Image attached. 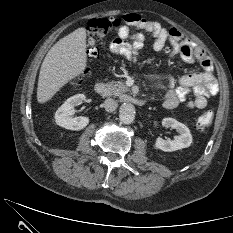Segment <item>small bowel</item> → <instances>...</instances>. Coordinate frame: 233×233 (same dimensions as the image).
Wrapping results in <instances>:
<instances>
[{"mask_svg": "<svg viewBox=\"0 0 233 233\" xmlns=\"http://www.w3.org/2000/svg\"><path fill=\"white\" fill-rule=\"evenodd\" d=\"M123 20L125 24L119 27L118 37L109 46L110 51L135 62L146 44V34H150L153 37L151 44L154 51L159 52L169 44L170 52L179 54L185 62L198 61L203 71L181 76L177 86L172 78L169 79V90L162 97V106L166 109L178 106L204 109L208 103L207 99L219 90L212 62L204 50L184 38L177 29H167L159 22L139 14H125ZM189 93L194 95L193 100H187Z\"/></svg>", "mask_w": 233, "mask_h": 233, "instance_id": "c3829d8e", "label": "small bowel"}]
</instances>
